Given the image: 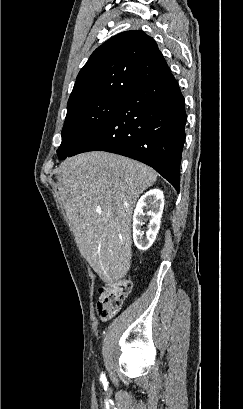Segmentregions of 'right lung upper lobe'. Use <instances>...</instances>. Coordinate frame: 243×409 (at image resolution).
<instances>
[{
	"mask_svg": "<svg viewBox=\"0 0 243 409\" xmlns=\"http://www.w3.org/2000/svg\"><path fill=\"white\" fill-rule=\"evenodd\" d=\"M171 71L153 38L143 31L108 39L80 70L68 106L99 98H127Z\"/></svg>",
	"mask_w": 243,
	"mask_h": 409,
	"instance_id": "right-lung-upper-lobe-1",
	"label": "right lung upper lobe"
}]
</instances>
